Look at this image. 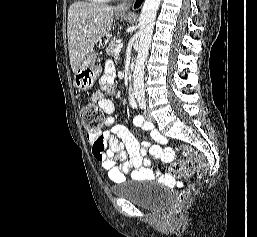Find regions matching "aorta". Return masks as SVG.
<instances>
[{
	"label": "aorta",
	"mask_w": 257,
	"mask_h": 237,
	"mask_svg": "<svg viewBox=\"0 0 257 237\" xmlns=\"http://www.w3.org/2000/svg\"><path fill=\"white\" fill-rule=\"evenodd\" d=\"M160 2L161 0H145L139 18V48L133 72V88L137 100H142L145 96L144 68Z\"/></svg>",
	"instance_id": "1"
}]
</instances>
